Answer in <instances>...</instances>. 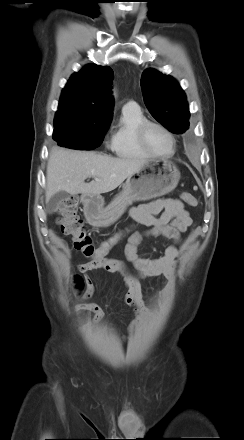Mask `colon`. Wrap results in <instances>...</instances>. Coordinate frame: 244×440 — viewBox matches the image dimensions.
<instances>
[{
  "instance_id": "1",
  "label": "colon",
  "mask_w": 244,
  "mask_h": 440,
  "mask_svg": "<svg viewBox=\"0 0 244 440\" xmlns=\"http://www.w3.org/2000/svg\"><path fill=\"white\" fill-rule=\"evenodd\" d=\"M181 199L190 206H197V199L190 193L181 194ZM55 213L64 233L72 236L75 249L90 258V263L96 269L113 270L118 267L119 261L108 259V253L119 244L130 232L124 229L117 232L99 246L95 247L90 235L86 232L83 220L77 215V199L69 197L56 206Z\"/></svg>"
}]
</instances>
